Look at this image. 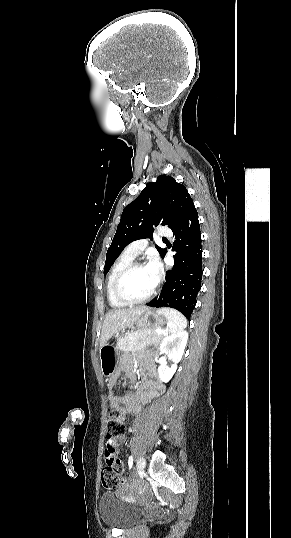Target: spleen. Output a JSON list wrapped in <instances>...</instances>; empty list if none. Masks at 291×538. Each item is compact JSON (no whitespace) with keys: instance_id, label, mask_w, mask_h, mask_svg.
<instances>
[{"instance_id":"1","label":"spleen","mask_w":291,"mask_h":538,"mask_svg":"<svg viewBox=\"0 0 291 538\" xmlns=\"http://www.w3.org/2000/svg\"><path fill=\"white\" fill-rule=\"evenodd\" d=\"M158 312L167 318L169 331L171 333H177L186 328L187 319L178 310L173 308H160Z\"/></svg>"}]
</instances>
